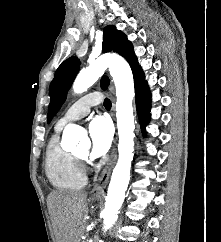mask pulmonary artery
Wrapping results in <instances>:
<instances>
[{
	"label": "pulmonary artery",
	"instance_id": "1",
	"mask_svg": "<svg viewBox=\"0 0 221 242\" xmlns=\"http://www.w3.org/2000/svg\"><path fill=\"white\" fill-rule=\"evenodd\" d=\"M102 101V96L98 92H92L82 96L73 103L57 121L56 127L62 128L66 124L85 117L92 106L98 105Z\"/></svg>",
	"mask_w": 221,
	"mask_h": 242
}]
</instances>
